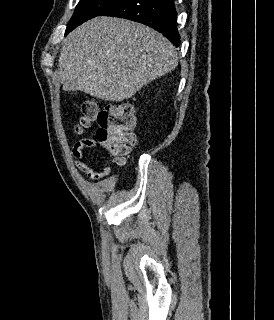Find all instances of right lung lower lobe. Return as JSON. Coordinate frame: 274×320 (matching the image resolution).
Returning <instances> with one entry per match:
<instances>
[{
  "label": "right lung lower lobe",
  "mask_w": 274,
  "mask_h": 320,
  "mask_svg": "<svg viewBox=\"0 0 274 320\" xmlns=\"http://www.w3.org/2000/svg\"><path fill=\"white\" fill-rule=\"evenodd\" d=\"M99 16H113L143 23L167 37L179 47L177 12L173 0H119Z\"/></svg>",
  "instance_id": "98d812e1"
}]
</instances>
